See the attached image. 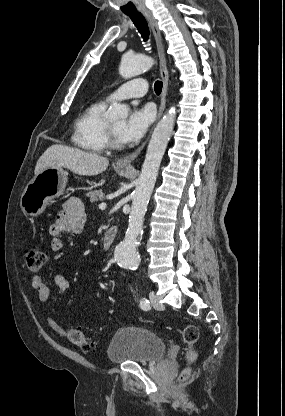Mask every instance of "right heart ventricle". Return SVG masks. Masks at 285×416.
<instances>
[{
  "label": "right heart ventricle",
  "instance_id": "obj_1",
  "mask_svg": "<svg viewBox=\"0 0 285 416\" xmlns=\"http://www.w3.org/2000/svg\"><path fill=\"white\" fill-rule=\"evenodd\" d=\"M105 104L102 101L90 103L79 115L74 124L72 143L88 154H101L107 149L103 117Z\"/></svg>",
  "mask_w": 285,
  "mask_h": 416
}]
</instances>
